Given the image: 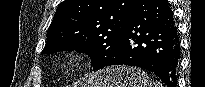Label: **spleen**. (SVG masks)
Segmentation results:
<instances>
[{
    "mask_svg": "<svg viewBox=\"0 0 205 87\" xmlns=\"http://www.w3.org/2000/svg\"><path fill=\"white\" fill-rule=\"evenodd\" d=\"M155 87H163L160 82H155Z\"/></svg>",
    "mask_w": 205,
    "mask_h": 87,
    "instance_id": "obj_1",
    "label": "spleen"
}]
</instances>
